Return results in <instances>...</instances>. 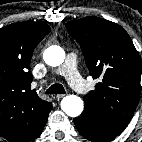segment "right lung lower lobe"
Masks as SVG:
<instances>
[{"instance_id": "right-lung-lower-lobe-1", "label": "right lung lower lobe", "mask_w": 142, "mask_h": 142, "mask_svg": "<svg viewBox=\"0 0 142 142\" xmlns=\"http://www.w3.org/2000/svg\"><path fill=\"white\" fill-rule=\"evenodd\" d=\"M44 127V126H43ZM43 129V128H42ZM42 129H41V131L39 132V134L36 136V138L41 134V132H42Z\"/></svg>"}]
</instances>
